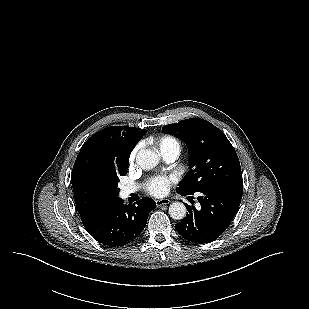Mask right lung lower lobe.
<instances>
[{"mask_svg": "<svg viewBox=\"0 0 309 309\" xmlns=\"http://www.w3.org/2000/svg\"><path fill=\"white\" fill-rule=\"evenodd\" d=\"M155 202L144 198L137 205H124L115 198L82 217L86 230L99 243L108 247H122L134 241L145 228Z\"/></svg>", "mask_w": 309, "mask_h": 309, "instance_id": "1", "label": "right lung lower lobe"}]
</instances>
